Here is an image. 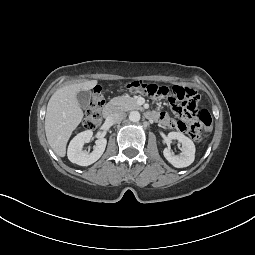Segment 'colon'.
Wrapping results in <instances>:
<instances>
[{
    "mask_svg": "<svg viewBox=\"0 0 255 255\" xmlns=\"http://www.w3.org/2000/svg\"><path fill=\"white\" fill-rule=\"evenodd\" d=\"M127 89L132 92L145 94L154 99L170 97L172 100L180 102V104L176 105L175 112L184 117L196 118L204 127V134L192 130L190 131V137L194 141L199 142L210 135L212 131L211 116L206 110L198 108L199 95L195 90L181 86L169 89L168 87L149 84L142 80L131 81L128 83ZM104 103L101 88L96 87L83 117L82 125L84 128L94 129L102 122Z\"/></svg>",
    "mask_w": 255,
    "mask_h": 255,
    "instance_id": "obj_1",
    "label": "colon"
}]
</instances>
